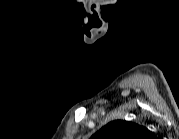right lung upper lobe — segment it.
I'll use <instances>...</instances> for the list:
<instances>
[{
  "mask_svg": "<svg viewBox=\"0 0 179 139\" xmlns=\"http://www.w3.org/2000/svg\"><path fill=\"white\" fill-rule=\"evenodd\" d=\"M151 132L144 126L125 120H115L97 131L91 139H149Z\"/></svg>",
  "mask_w": 179,
  "mask_h": 139,
  "instance_id": "cb5924a9",
  "label": "right lung upper lobe"
}]
</instances>
